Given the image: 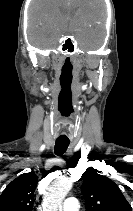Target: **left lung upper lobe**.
<instances>
[{
  "label": "left lung upper lobe",
  "mask_w": 133,
  "mask_h": 211,
  "mask_svg": "<svg viewBox=\"0 0 133 211\" xmlns=\"http://www.w3.org/2000/svg\"><path fill=\"white\" fill-rule=\"evenodd\" d=\"M81 191L87 211H132L117 184L93 168L83 173Z\"/></svg>",
  "instance_id": "obj_1"
}]
</instances>
